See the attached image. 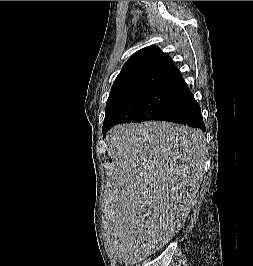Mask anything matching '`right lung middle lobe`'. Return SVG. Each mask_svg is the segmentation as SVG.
<instances>
[{"instance_id": "right-lung-middle-lobe-1", "label": "right lung middle lobe", "mask_w": 253, "mask_h": 266, "mask_svg": "<svg viewBox=\"0 0 253 266\" xmlns=\"http://www.w3.org/2000/svg\"><path fill=\"white\" fill-rule=\"evenodd\" d=\"M174 85H155L107 102L103 128L114 122L158 120L170 104Z\"/></svg>"}]
</instances>
